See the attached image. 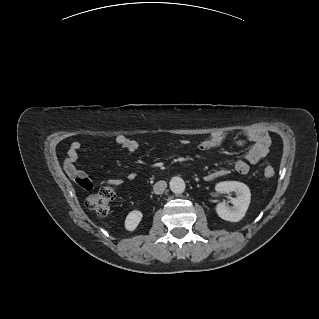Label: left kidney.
<instances>
[{"mask_svg": "<svg viewBox=\"0 0 319 319\" xmlns=\"http://www.w3.org/2000/svg\"><path fill=\"white\" fill-rule=\"evenodd\" d=\"M215 190L219 193L229 194L235 192L236 198L231 199L233 206L222 202L217 204L216 212L220 218L230 222L240 221L246 214L251 200L249 187L238 181H224L216 184Z\"/></svg>", "mask_w": 319, "mask_h": 319, "instance_id": "obj_1", "label": "left kidney"}]
</instances>
